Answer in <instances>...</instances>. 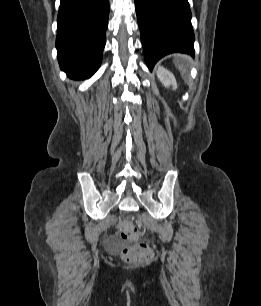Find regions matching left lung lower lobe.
I'll list each match as a JSON object with an SVG mask.
<instances>
[{"instance_id":"1","label":"left lung lower lobe","mask_w":261,"mask_h":306,"mask_svg":"<svg viewBox=\"0 0 261 306\" xmlns=\"http://www.w3.org/2000/svg\"><path fill=\"white\" fill-rule=\"evenodd\" d=\"M147 67L170 53L194 55L188 0H135Z\"/></svg>"}]
</instances>
